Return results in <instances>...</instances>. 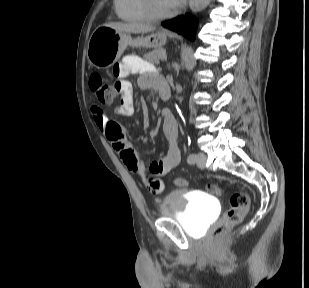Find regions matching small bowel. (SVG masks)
Masks as SVG:
<instances>
[{"mask_svg":"<svg viewBox=\"0 0 309 288\" xmlns=\"http://www.w3.org/2000/svg\"><path fill=\"white\" fill-rule=\"evenodd\" d=\"M131 73L140 74L138 83L141 88L159 89L163 81L162 76L155 73L153 66L140 57L133 55L124 57L113 68V75L117 79L116 93L120 96V104L116 112L123 116H132L135 111L131 85L125 80ZM91 111L99 130L119 154L125 167L131 173L140 176L146 185L150 187L151 192L161 193L164 187L161 176L174 170L180 163V151L177 146L178 124L173 113L170 111L163 113V130L168 140V150L160 160L151 163L146 168L131 140L123 134L120 124L109 120L101 106L95 105Z\"/></svg>","mask_w":309,"mask_h":288,"instance_id":"small-bowel-1","label":"small bowel"}]
</instances>
